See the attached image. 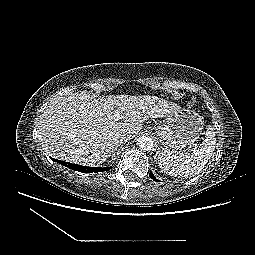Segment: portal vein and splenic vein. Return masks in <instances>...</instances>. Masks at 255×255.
Wrapping results in <instances>:
<instances>
[{
	"label": "portal vein and splenic vein",
	"instance_id": "obj_1",
	"mask_svg": "<svg viewBox=\"0 0 255 255\" xmlns=\"http://www.w3.org/2000/svg\"><path fill=\"white\" fill-rule=\"evenodd\" d=\"M116 117H117V119L119 118V116H118V115H116Z\"/></svg>",
	"mask_w": 255,
	"mask_h": 255
}]
</instances>
